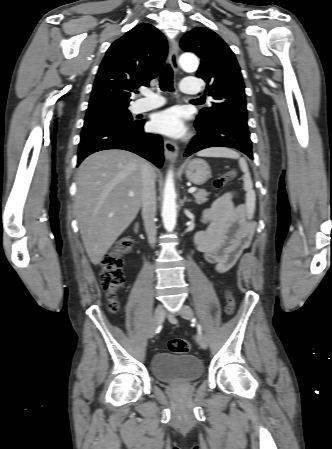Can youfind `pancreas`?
<instances>
[{"label": "pancreas", "instance_id": "obj_1", "mask_svg": "<svg viewBox=\"0 0 332 449\" xmlns=\"http://www.w3.org/2000/svg\"><path fill=\"white\" fill-rule=\"evenodd\" d=\"M209 192H206L205 190H199L198 192L194 193L193 196L195 198V202L197 204H203L208 201Z\"/></svg>", "mask_w": 332, "mask_h": 449}]
</instances>
